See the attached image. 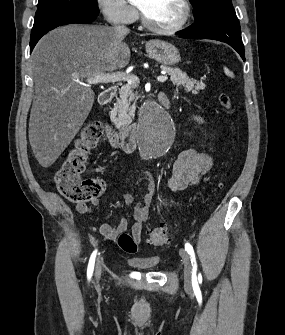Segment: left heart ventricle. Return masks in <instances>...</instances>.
I'll return each mask as SVG.
<instances>
[{
    "label": "left heart ventricle",
    "mask_w": 285,
    "mask_h": 335,
    "mask_svg": "<svg viewBox=\"0 0 285 335\" xmlns=\"http://www.w3.org/2000/svg\"><path fill=\"white\" fill-rule=\"evenodd\" d=\"M141 4L148 20L159 28L174 27L184 16L178 1H143Z\"/></svg>",
    "instance_id": "left-heart-ventricle-1"
}]
</instances>
